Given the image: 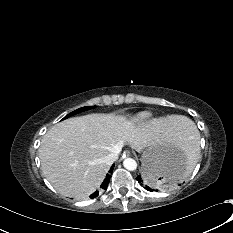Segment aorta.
Wrapping results in <instances>:
<instances>
[{"label":"aorta","mask_w":233,"mask_h":233,"mask_svg":"<svg viewBox=\"0 0 233 233\" xmlns=\"http://www.w3.org/2000/svg\"><path fill=\"white\" fill-rule=\"evenodd\" d=\"M123 166L129 171H134L137 168V162L132 158H126L123 161Z\"/></svg>","instance_id":"1"}]
</instances>
